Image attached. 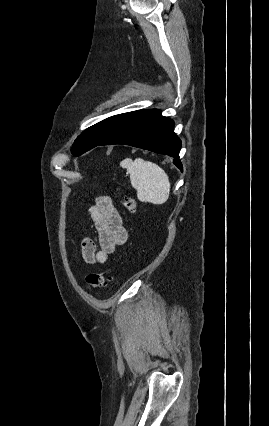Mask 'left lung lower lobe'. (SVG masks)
<instances>
[{"label":"left lung lower lobe","instance_id":"left-lung-lower-lobe-1","mask_svg":"<svg viewBox=\"0 0 269 426\" xmlns=\"http://www.w3.org/2000/svg\"><path fill=\"white\" fill-rule=\"evenodd\" d=\"M174 122L159 110H140L120 114L106 137L98 145L125 144L179 159L181 140L173 132Z\"/></svg>","mask_w":269,"mask_h":426}]
</instances>
